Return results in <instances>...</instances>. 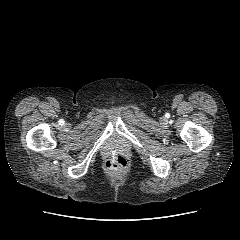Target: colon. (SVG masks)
<instances>
[{
	"mask_svg": "<svg viewBox=\"0 0 240 240\" xmlns=\"http://www.w3.org/2000/svg\"><path fill=\"white\" fill-rule=\"evenodd\" d=\"M128 165V162L126 158L120 154L114 155L112 158H110L105 166L110 171H120L124 170Z\"/></svg>",
	"mask_w": 240,
	"mask_h": 240,
	"instance_id": "1",
	"label": "colon"
}]
</instances>
